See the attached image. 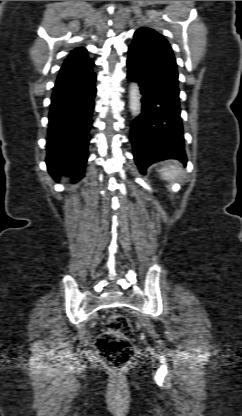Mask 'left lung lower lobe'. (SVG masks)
<instances>
[{
  "label": "left lung lower lobe",
  "instance_id": "left-lung-lower-lobe-1",
  "mask_svg": "<svg viewBox=\"0 0 242 416\" xmlns=\"http://www.w3.org/2000/svg\"><path fill=\"white\" fill-rule=\"evenodd\" d=\"M129 79L142 94L141 114L131 127L134 160L142 174L169 158L186 163L179 103L178 72L171 47L152 32H135L128 49Z\"/></svg>",
  "mask_w": 242,
  "mask_h": 416
}]
</instances>
